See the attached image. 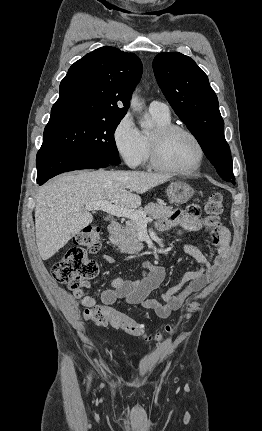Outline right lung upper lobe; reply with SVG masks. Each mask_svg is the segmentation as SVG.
<instances>
[{"instance_id":"obj_1","label":"right lung upper lobe","mask_w":262,"mask_h":431,"mask_svg":"<svg viewBox=\"0 0 262 431\" xmlns=\"http://www.w3.org/2000/svg\"><path fill=\"white\" fill-rule=\"evenodd\" d=\"M142 74L133 53L105 46L86 54L68 70L47 125L80 119L123 118Z\"/></svg>"}]
</instances>
